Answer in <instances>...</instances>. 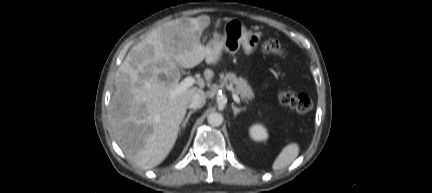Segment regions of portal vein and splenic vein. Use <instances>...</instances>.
<instances>
[{"mask_svg": "<svg viewBox=\"0 0 432 193\" xmlns=\"http://www.w3.org/2000/svg\"><path fill=\"white\" fill-rule=\"evenodd\" d=\"M195 79L192 76H188L186 77L184 80H182L171 92L170 95L172 97H175L179 94H181L182 92L186 91L188 88H190L194 83H195ZM233 100L236 103H240V98L238 97L237 94L233 93L232 94Z\"/></svg>", "mask_w": 432, "mask_h": 193, "instance_id": "obj_1", "label": "portal vein and splenic vein"}]
</instances>
